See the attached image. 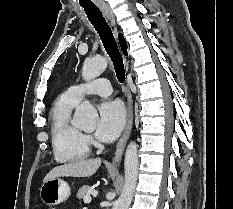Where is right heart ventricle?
<instances>
[{
	"label": "right heart ventricle",
	"instance_id": "obj_1",
	"mask_svg": "<svg viewBox=\"0 0 233 209\" xmlns=\"http://www.w3.org/2000/svg\"><path fill=\"white\" fill-rule=\"evenodd\" d=\"M67 92L60 95L51 110V141L58 162H75L89 154L82 132L71 122V113L78 105Z\"/></svg>",
	"mask_w": 233,
	"mask_h": 209
}]
</instances>
